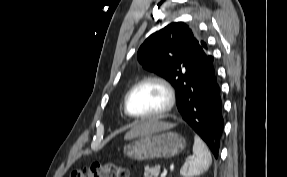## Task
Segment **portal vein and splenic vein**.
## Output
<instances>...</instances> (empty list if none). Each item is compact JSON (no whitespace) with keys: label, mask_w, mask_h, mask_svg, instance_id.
Listing matches in <instances>:
<instances>
[{"label":"portal vein and splenic vein","mask_w":287,"mask_h":177,"mask_svg":"<svg viewBox=\"0 0 287 177\" xmlns=\"http://www.w3.org/2000/svg\"><path fill=\"white\" fill-rule=\"evenodd\" d=\"M167 174H168V171H167V170H164V171L162 172V174H161V176H160V177H166V176H167Z\"/></svg>","instance_id":"18ae733b"}]
</instances>
